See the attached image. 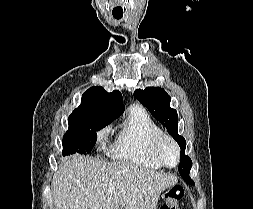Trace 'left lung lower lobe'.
Returning <instances> with one entry per match:
<instances>
[{"label": "left lung lower lobe", "mask_w": 253, "mask_h": 209, "mask_svg": "<svg viewBox=\"0 0 253 209\" xmlns=\"http://www.w3.org/2000/svg\"><path fill=\"white\" fill-rule=\"evenodd\" d=\"M188 184H194L193 180L187 182Z\"/></svg>", "instance_id": "1"}]
</instances>
